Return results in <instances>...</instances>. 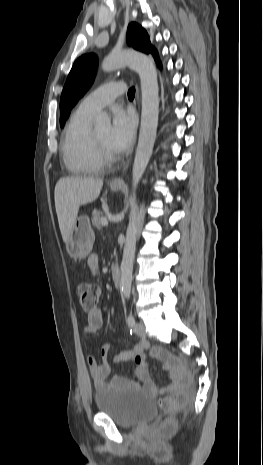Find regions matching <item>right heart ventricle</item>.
<instances>
[{"label": "right heart ventricle", "mask_w": 263, "mask_h": 465, "mask_svg": "<svg viewBox=\"0 0 263 465\" xmlns=\"http://www.w3.org/2000/svg\"><path fill=\"white\" fill-rule=\"evenodd\" d=\"M92 117L77 109L65 127L61 143L63 161L68 171L75 175L98 173L104 166L91 139Z\"/></svg>", "instance_id": "right-heart-ventricle-1"}]
</instances>
